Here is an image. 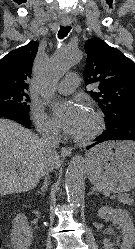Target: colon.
I'll return each mask as SVG.
<instances>
[{
  "label": "colon",
  "instance_id": "5ec220e1",
  "mask_svg": "<svg viewBox=\"0 0 135 249\" xmlns=\"http://www.w3.org/2000/svg\"><path fill=\"white\" fill-rule=\"evenodd\" d=\"M0 249H2V241H0Z\"/></svg>",
  "mask_w": 135,
  "mask_h": 249
}]
</instances>
